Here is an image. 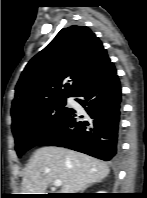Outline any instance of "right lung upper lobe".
Instances as JSON below:
<instances>
[{
  "label": "right lung upper lobe",
  "mask_w": 147,
  "mask_h": 198,
  "mask_svg": "<svg viewBox=\"0 0 147 198\" xmlns=\"http://www.w3.org/2000/svg\"><path fill=\"white\" fill-rule=\"evenodd\" d=\"M109 61L101 41L88 27L63 28L22 72L12 102V120L55 100L75 96ZM65 79L71 84L63 85Z\"/></svg>",
  "instance_id": "right-lung-upper-lobe-1"
}]
</instances>
